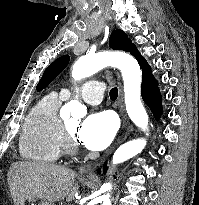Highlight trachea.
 Masks as SVG:
<instances>
[{"instance_id": "3493384b", "label": "trachea", "mask_w": 199, "mask_h": 205, "mask_svg": "<svg viewBox=\"0 0 199 205\" xmlns=\"http://www.w3.org/2000/svg\"><path fill=\"white\" fill-rule=\"evenodd\" d=\"M117 97H118V89L116 87H114L110 90V98L112 100H115V99H117Z\"/></svg>"}]
</instances>
